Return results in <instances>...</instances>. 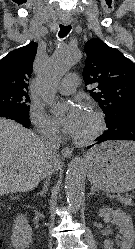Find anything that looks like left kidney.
<instances>
[{
    "label": "left kidney",
    "mask_w": 135,
    "mask_h": 249,
    "mask_svg": "<svg viewBox=\"0 0 135 249\" xmlns=\"http://www.w3.org/2000/svg\"><path fill=\"white\" fill-rule=\"evenodd\" d=\"M99 216L103 218H112L113 222L120 228L122 234V242L120 249H131L135 240V231L132 222V218L124 211L118 209L113 210L108 207H104L99 210ZM105 249H114L110 240L104 241Z\"/></svg>",
    "instance_id": "obj_1"
}]
</instances>
